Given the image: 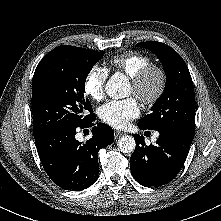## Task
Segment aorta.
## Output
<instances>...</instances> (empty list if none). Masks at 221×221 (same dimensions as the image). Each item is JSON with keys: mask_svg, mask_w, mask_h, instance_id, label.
I'll list each match as a JSON object with an SVG mask.
<instances>
[{"mask_svg": "<svg viewBox=\"0 0 221 221\" xmlns=\"http://www.w3.org/2000/svg\"><path fill=\"white\" fill-rule=\"evenodd\" d=\"M107 95L113 99L125 98L129 95V83L125 75L118 73L113 75L105 86ZM118 148L123 153H131L135 150L136 143L132 136L124 135L118 139Z\"/></svg>", "mask_w": 221, "mask_h": 221, "instance_id": "obj_1", "label": "aorta"}]
</instances>
